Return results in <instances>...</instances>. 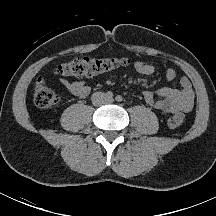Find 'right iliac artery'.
Listing matches in <instances>:
<instances>
[{"instance_id": "right-iliac-artery-1", "label": "right iliac artery", "mask_w": 216, "mask_h": 216, "mask_svg": "<svg viewBox=\"0 0 216 216\" xmlns=\"http://www.w3.org/2000/svg\"><path fill=\"white\" fill-rule=\"evenodd\" d=\"M106 97L108 99H112L113 98V93L111 91L106 92Z\"/></svg>"}]
</instances>
